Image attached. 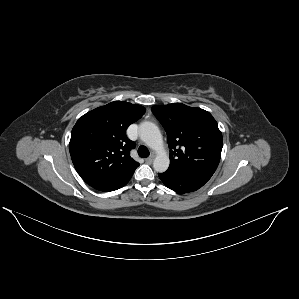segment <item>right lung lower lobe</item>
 <instances>
[{"label": "right lung lower lobe", "instance_id": "obj_1", "mask_svg": "<svg viewBox=\"0 0 299 299\" xmlns=\"http://www.w3.org/2000/svg\"><path fill=\"white\" fill-rule=\"evenodd\" d=\"M131 177H132V175L125 179H119V180L111 181L108 183L100 184L97 186H93V188L100 190V191H105V192L114 191V190H117V189L123 187L124 185H126Z\"/></svg>", "mask_w": 299, "mask_h": 299}]
</instances>
